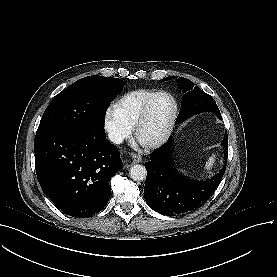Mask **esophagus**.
<instances>
[{
	"mask_svg": "<svg viewBox=\"0 0 277 277\" xmlns=\"http://www.w3.org/2000/svg\"><path fill=\"white\" fill-rule=\"evenodd\" d=\"M133 163H139L142 161V157L136 153L132 154Z\"/></svg>",
	"mask_w": 277,
	"mask_h": 277,
	"instance_id": "esophagus-1",
	"label": "esophagus"
}]
</instances>
